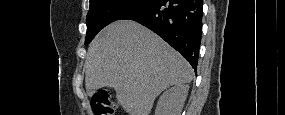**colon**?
<instances>
[{"label":"colon","instance_id":"1","mask_svg":"<svg viewBox=\"0 0 285 115\" xmlns=\"http://www.w3.org/2000/svg\"><path fill=\"white\" fill-rule=\"evenodd\" d=\"M91 107L95 115H113L115 107L106 92L95 94L91 101Z\"/></svg>","mask_w":285,"mask_h":115}]
</instances>
